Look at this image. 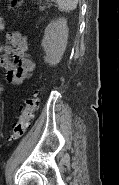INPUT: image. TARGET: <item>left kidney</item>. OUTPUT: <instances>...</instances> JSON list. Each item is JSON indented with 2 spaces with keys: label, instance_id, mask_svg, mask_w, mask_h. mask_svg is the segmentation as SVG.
Returning <instances> with one entry per match:
<instances>
[{
  "label": "left kidney",
  "instance_id": "5707ae66",
  "mask_svg": "<svg viewBox=\"0 0 119 185\" xmlns=\"http://www.w3.org/2000/svg\"><path fill=\"white\" fill-rule=\"evenodd\" d=\"M68 40V27L65 18L51 21L44 31L42 46L45 51L44 61L51 66L57 65L65 52Z\"/></svg>",
  "mask_w": 119,
  "mask_h": 185
}]
</instances>
